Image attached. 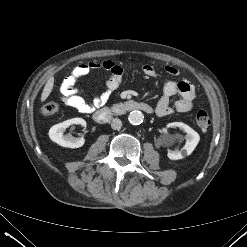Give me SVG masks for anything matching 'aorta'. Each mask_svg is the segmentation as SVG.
<instances>
[{
    "mask_svg": "<svg viewBox=\"0 0 247 247\" xmlns=\"http://www.w3.org/2000/svg\"><path fill=\"white\" fill-rule=\"evenodd\" d=\"M144 115L141 111L133 110L129 113L128 121L132 125H140L143 123Z\"/></svg>",
    "mask_w": 247,
    "mask_h": 247,
    "instance_id": "762f6f07",
    "label": "aorta"
}]
</instances>
